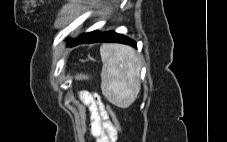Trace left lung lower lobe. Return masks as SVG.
Masks as SVG:
<instances>
[{"label": "left lung lower lobe", "instance_id": "0a47b994", "mask_svg": "<svg viewBox=\"0 0 227 142\" xmlns=\"http://www.w3.org/2000/svg\"><path fill=\"white\" fill-rule=\"evenodd\" d=\"M96 42H118L136 47V42L122 34L115 33L114 31L100 33L93 31L80 35L77 39L69 42L70 46L82 43H96Z\"/></svg>", "mask_w": 227, "mask_h": 142}]
</instances>
